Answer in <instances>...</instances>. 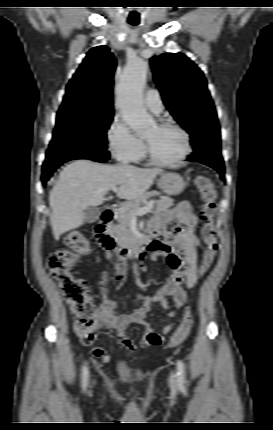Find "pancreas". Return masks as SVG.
<instances>
[{"instance_id":"obj_1","label":"pancreas","mask_w":273,"mask_h":430,"mask_svg":"<svg viewBox=\"0 0 273 430\" xmlns=\"http://www.w3.org/2000/svg\"><path fill=\"white\" fill-rule=\"evenodd\" d=\"M160 195L156 190L143 193L138 199L127 202L123 208L117 213L116 220L118 224L110 226V231L115 237L116 242L123 246L131 242L132 233L130 224L133 214L141 208V206L151 197ZM173 199L167 196H160L159 200L155 201V206L159 210H166L173 205Z\"/></svg>"}]
</instances>
